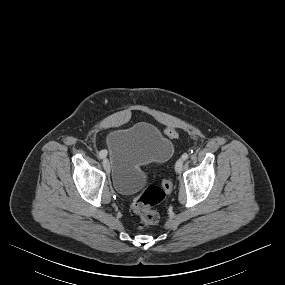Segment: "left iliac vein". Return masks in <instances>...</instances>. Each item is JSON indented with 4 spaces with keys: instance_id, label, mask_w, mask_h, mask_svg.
<instances>
[{
    "instance_id": "4c4485c4",
    "label": "left iliac vein",
    "mask_w": 285,
    "mask_h": 285,
    "mask_svg": "<svg viewBox=\"0 0 285 285\" xmlns=\"http://www.w3.org/2000/svg\"><path fill=\"white\" fill-rule=\"evenodd\" d=\"M184 160L182 158L178 159L175 164V171L181 173L183 169Z\"/></svg>"
}]
</instances>
